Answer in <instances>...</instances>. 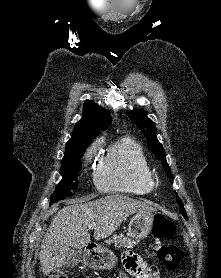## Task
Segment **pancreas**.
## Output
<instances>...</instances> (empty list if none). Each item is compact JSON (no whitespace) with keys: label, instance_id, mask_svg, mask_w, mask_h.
<instances>
[{"label":"pancreas","instance_id":"obj_1","mask_svg":"<svg viewBox=\"0 0 221 278\" xmlns=\"http://www.w3.org/2000/svg\"><path fill=\"white\" fill-rule=\"evenodd\" d=\"M108 243H113L117 248H131L136 245L134 240H131L128 237H124L123 235H114L111 239L108 240Z\"/></svg>","mask_w":221,"mask_h":278}]
</instances>
